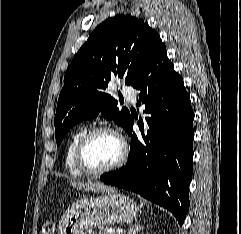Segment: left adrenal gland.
<instances>
[{
	"instance_id": "a2214340",
	"label": "left adrenal gland",
	"mask_w": 241,
	"mask_h": 234,
	"mask_svg": "<svg viewBox=\"0 0 241 234\" xmlns=\"http://www.w3.org/2000/svg\"><path fill=\"white\" fill-rule=\"evenodd\" d=\"M144 226L140 225V224H135L134 226H132L127 234H137L139 231L143 230Z\"/></svg>"
}]
</instances>
